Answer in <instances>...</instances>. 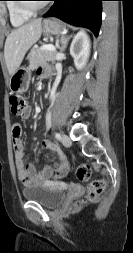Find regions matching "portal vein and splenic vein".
Wrapping results in <instances>:
<instances>
[{"instance_id": "portal-vein-and-splenic-vein-1", "label": "portal vein and splenic vein", "mask_w": 133, "mask_h": 253, "mask_svg": "<svg viewBox=\"0 0 133 253\" xmlns=\"http://www.w3.org/2000/svg\"><path fill=\"white\" fill-rule=\"evenodd\" d=\"M41 49H42V50L53 51V52H55V51H56L55 46L50 45V44H49V45H42Z\"/></svg>"}]
</instances>
